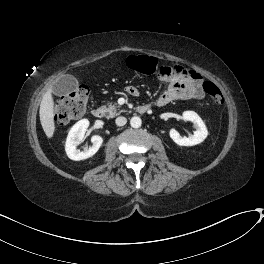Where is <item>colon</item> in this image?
<instances>
[{
  "instance_id": "obj_1",
  "label": "colon",
  "mask_w": 264,
  "mask_h": 264,
  "mask_svg": "<svg viewBox=\"0 0 264 264\" xmlns=\"http://www.w3.org/2000/svg\"><path fill=\"white\" fill-rule=\"evenodd\" d=\"M127 67L146 75H156L159 78L169 76L172 69L168 66L158 64L149 56H130L127 59ZM203 91L210 104L220 106L223 103L222 92L212 81L203 83ZM89 99V88L86 85H79L73 92L64 98L56 108V117L59 123H67L72 119L83 116L86 104Z\"/></svg>"
}]
</instances>
